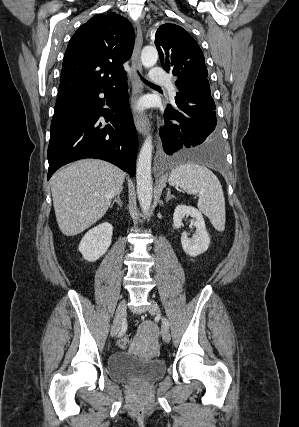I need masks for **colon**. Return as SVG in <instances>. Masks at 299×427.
<instances>
[{
	"instance_id": "colon-1",
	"label": "colon",
	"mask_w": 299,
	"mask_h": 427,
	"mask_svg": "<svg viewBox=\"0 0 299 427\" xmlns=\"http://www.w3.org/2000/svg\"><path fill=\"white\" fill-rule=\"evenodd\" d=\"M130 339L128 336H122L118 340V346L122 349H125L129 346Z\"/></svg>"
}]
</instances>
